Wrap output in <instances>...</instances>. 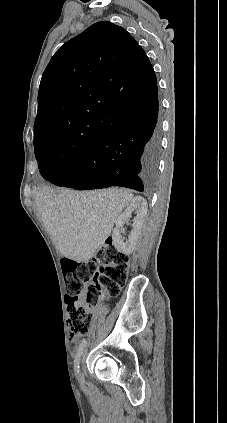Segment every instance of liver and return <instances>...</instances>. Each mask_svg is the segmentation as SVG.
Wrapping results in <instances>:
<instances>
[{"mask_svg":"<svg viewBox=\"0 0 227 423\" xmlns=\"http://www.w3.org/2000/svg\"><path fill=\"white\" fill-rule=\"evenodd\" d=\"M132 198L131 192L119 188L92 192L43 188L35 204L61 255L85 261L103 247L119 213Z\"/></svg>","mask_w":227,"mask_h":423,"instance_id":"6515ba94","label":"liver"}]
</instances>
